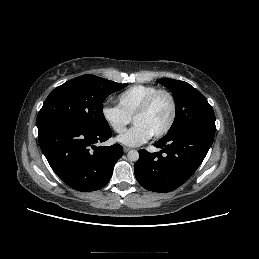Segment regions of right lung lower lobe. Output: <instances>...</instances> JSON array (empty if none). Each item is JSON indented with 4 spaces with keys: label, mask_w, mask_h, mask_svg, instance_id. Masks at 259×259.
<instances>
[{
    "label": "right lung lower lobe",
    "mask_w": 259,
    "mask_h": 259,
    "mask_svg": "<svg viewBox=\"0 0 259 259\" xmlns=\"http://www.w3.org/2000/svg\"><path fill=\"white\" fill-rule=\"evenodd\" d=\"M112 136L111 129H94L57 122L38 130L42 152L57 176L69 187L89 192L103 188L122 157L119 144L96 147Z\"/></svg>",
    "instance_id": "98d812e1"
}]
</instances>
